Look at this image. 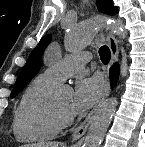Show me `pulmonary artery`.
<instances>
[{
	"mask_svg": "<svg viewBox=\"0 0 145 147\" xmlns=\"http://www.w3.org/2000/svg\"><path fill=\"white\" fill-rule=\"evenodd\" d=\"M91 58L92 56L88 52L68 55L47 67L44 74L48 78L59 83L66 77L82 71L86 63L89 62Z\"/></svg>",
	"mask_w": 145,
	"mask_h": 147,
	"instance_id": "1",
	"label": "pulmonary artery"
}]
</instances>
